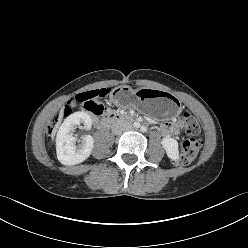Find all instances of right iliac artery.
<instances>
[{
  "mask_svg": "<svg viewBox=\"0 0 248 248\" xmlns=\"http://www.w3.org/2000/svg\"><path fill=\"white\" fill-rule=\"evenodd\" d=\"M134 127L138 128V127H140V124L137 123V122H135V123H134Z\"/></svg>",
  "mask_w": 248,
  "mask_h": 248,
  "instance_id": "obj_1",
  "label": "right iliac artery"
}]
</instances>
